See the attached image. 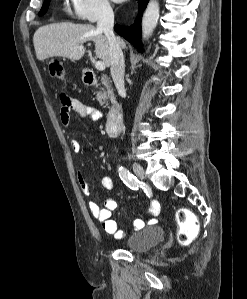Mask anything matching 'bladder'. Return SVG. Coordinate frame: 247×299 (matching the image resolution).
I'll use <instances>...</instances> for the list:
<instances>
[{"instance_id":"bladder-1","label":"bladder","mask_w":247,"mask_h":299,"mask_svg":"<svg viewBox=\"0 0 247 299\" xmlns=\"http://www.w3.org/2000/svg\"><path fill=\"white\" fill-rule=\"evenodd\" d=\"M163 238L162 227L149 226L128 236L124 241V247L132 252H145L159 244Z\"/></svg>"}]
</instances>
